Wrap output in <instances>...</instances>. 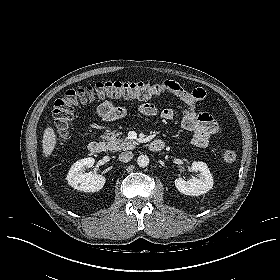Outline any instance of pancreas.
<instances>
[{
  "mask_svg": "<svg viewBox=\"0 0 280 280\" xmlns=\"http://www.w3.org/2000/svg\"><path fill=\"white\" fill-rule=\"evenodd\" d=\"M102 138L107 141V149L110 151L129 150L136 146V142L128 138H120L118 133L107 131Z\"/></svg>",
  "mask_w": 280,
  "mask_h": 280,
  "instance_id": "obj_1",
  "label": "pancreas"
}]
</instances>
